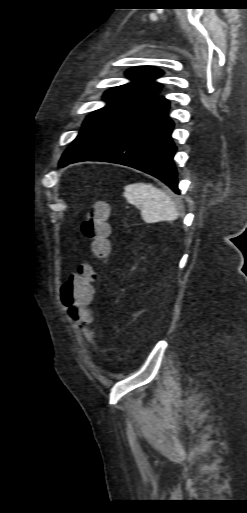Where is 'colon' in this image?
<instances>
[{
	"instance_id": "1",
	"label": "colon",
	"mask_w": 247,
	"mask_h": 513,
	"mask_svg": "<svg viewBox=\"0 0 247 513\" xmlns=\"http://www.w3.org/2000/svg\"><path fill=\"white\" fill-rule=\"evenodd\" d=\"M109 222L108 205L99 203L85 214L81 224V231L90 241V250L98 260H102L108 255ZM97 278L98 273L93 265L83 264L68 277L60 290L62 305L71 318L85 329L88 336L91 335V332L87 330V326L91 324L93 317L87 305L93 296L94 283Z\"/></svg>"
}]
</instances>
